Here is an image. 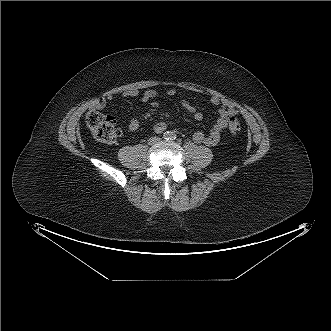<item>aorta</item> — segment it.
Returning a JSON list of instances; mask_svg holds the SVG:
<instances>
[{
    "label": "aorta",
    "mask_w": 331,
    "mask_h": 331,
    "mask_svg": "<svg viewBox=\"0 0 331 331\" xmlns=\"http://www.w3.org/2000/svg\"><path fill=\"white\" fill-rule=\"evenodd\" d=\"M172 135V132H167V137H173Z\"/></svg>",
    "instance_id": "obj_1"
}]
</instances>
